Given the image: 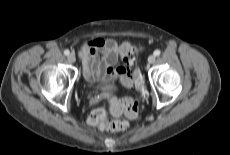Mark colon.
<instances>
[{
    "instance_id": "1",
    "label": "colon",
    "mask_w": 230,
    "mask_h": 155,
    "mask_svg": "<svg viewBox=\"0 0 230 155\" xmlns=\"http://www.w3.org/2000/svg\"><path fill=\"white\" fill-rule=\"evenodd\" d=\"M136 51V47L130 44H128L124 50L125 60L127 62V66L124 68V71L131 80L139 79L138 74L131 70V65ZM109 110H112L116 114L124 110L126 116L133 119L138 115V104L132 98L126 99L123 104H119L115 99L105 100L99 108L93 110L89 114L88 123L106 131L118 132L127 130L129 128V123L124 119H111L109 117Z\"/></svg>"
}]
</instances>
